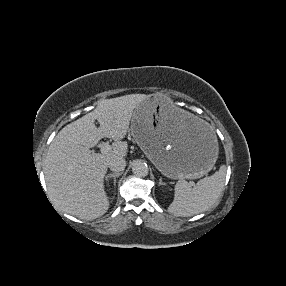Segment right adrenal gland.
Returning a JSON list of instances; mask_svg holds the SVG:
<instances>
[{"instance_id": "obj_1", "label": "right adrenal gland", "mask_w": 286, "mask_h": 286, "mask_svg": "<svg viewBox=\"0 0 286 286\" xmlns=\"http://www.w3.org/2000/svg\"><path fill=\"white\" fill-rule=\"evenodd\" d=\"M122 173H111V174H108L106 177H105V180L107 182H109V179L113 178L114 179V186H116V178H118Z\"/></svg>"}]
</instances>
